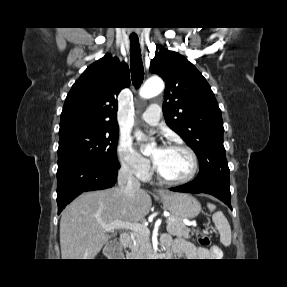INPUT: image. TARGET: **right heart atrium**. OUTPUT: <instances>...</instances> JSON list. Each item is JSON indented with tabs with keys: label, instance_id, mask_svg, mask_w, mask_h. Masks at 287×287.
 <instances>
[{
	"label": "right heart atrium",
	"instance_id": "obj_1",
	"mask_svg": "<svg viewBox=\"0 0 287 287\" xmlns=\"http://www.w3.org/2000/svg\"><path fill=\"white\" fill-rule=\"evenodd\" d=\"M117 154L123 168L139 179L145 180L151 174L150 161L143 157L127 139H120Z\"/></svg>",
	"mask_w": 287,
	"mask_h": 287
}]
</instances>
